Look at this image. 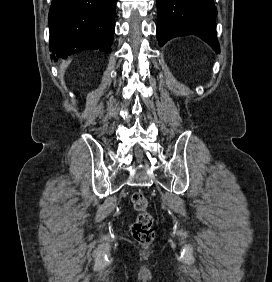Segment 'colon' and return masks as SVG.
<instances>
[{
    "label": "colon",
    "mask_w": 272,
    "mask_h": 282,
    "mask_svg": "<svg viewBox=\"0 0 272 282\" xmlns=\"http://www.w3.org/2000/svg\"><path fill=\"white\" fill-rule=\"evenodd\" d=\"M131 203L137 212V218L131 227L132 235L138 243L147 246L154 239V219L149 211L148 199L142 190H138L132 194Z\"/></svg>",
    "instance_id": "colon-1"
}]
</instances>
